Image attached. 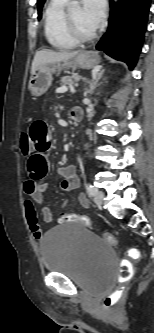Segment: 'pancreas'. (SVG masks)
<instances>
[{"label": "pancreas", "instance_id": "pancreas-1", "mask_svg": "<svg viewBox=\"0 0 154 333\" xmlns=\"http://www.w3.org/2000/svg\"><path fill=\"white\" fill-rule=\"evenodd\" d=\"M82 77L75 74V75H71V76H63L60 80V84L62 86H78V81L81 79Z\"/></svg>", "mask_w": 154, "mask_h": 333}]
</instances>
